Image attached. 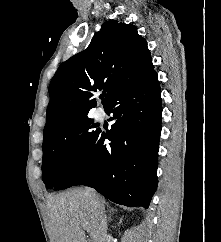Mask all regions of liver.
<instances>
[{"mask_svg": "<svg viewBox=\"0 0 221 242\" xmlns=\"http://www.w3.org/2000/svg\"><path fill=\"white\" fill-rule=\"evenodd\" d=\"M104 206L105 201L97 195ZM48 233L52 242H86V230L92 242H99L98 208L89 197L88 189H70L47 201Z\"/></svg>", "mask_w": 221, "mask_h": 242, "instance_id": "liver-1", "label": "liver"}]
</instances>
